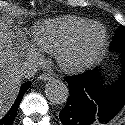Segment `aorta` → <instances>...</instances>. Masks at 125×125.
I'll list each match as a JSON object with an SVG mask.
<instances>
[{
  "mask_svg": "<svg viewBox=\"0 0 125 125\" xmlns=\"http://www.w3.org/2000/svg\"><path fill=\"white\" fill-rule=\"evenodd\" d=\"M46 97L52 104H63L69 97V89L65 83L53 79L46 84Z\"/></svg>",
  "mask_w": 125,
  "mask_h": 125,
  "instance_id": "1",
  "label": "aorta"
}]
</instances>
